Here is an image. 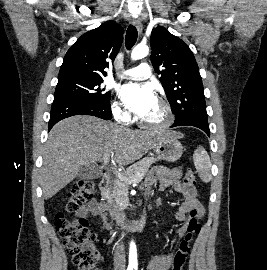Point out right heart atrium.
Here are the masks:
<instances>
[{
  "instance_id": "1",
  "label": "right heart atrium",
  "mask_w": 267,
  "mask_h": 270,
  "mask_svg": "<svg viewBox=\"0 0 267 270\" xmlns=\"http://www.w3.org/2000/svg\"><path fill=\"white\" fill-rule=\"evenodd\" d=\"M112 112L115 118L121 122L127 123L131 120L129 111L119 101H114Z\"/></svg>"
}]
</instances>
